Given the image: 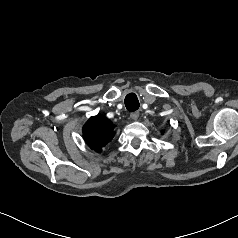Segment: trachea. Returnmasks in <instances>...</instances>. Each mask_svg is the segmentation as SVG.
<instances>
[{
	"instance_id": "trachea-1",
	"label": "trachea",
	"mask_w": 238,
	"mask_h": 238,
	"mask_svg": "<svg viewBox=\"0 0 238 238\" xmlns=\"http://www.w3.org/2000/svg\"><path fill=\"white\" fill-rule=\"evenodd\" d=\"M126 109L130 112L135 111L139 108L140 104L136 94L130 93L125 97Z\"/></svg>"
}]
</instances>
